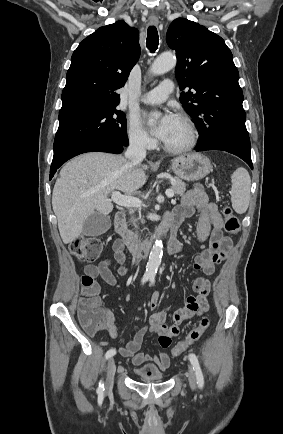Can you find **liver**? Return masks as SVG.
I'll list each match as a JSON object with an SVG mask.
<instances>
[{
    "mask_svg": "<svg viewBox=\"0 0 283 434\" xmlns=\"http://www.w3.org/2000/svg\"><path fill=\"white\" fill-rule=\"evenodd\" d=\"M145 164H132L122 155L91 152L67 162L52 193V207L64 244L72 243L83 231L85 220L95 210L108 215L113 210L109 194L119 190L130 195L142 188Z\"/></svg>",
    "mask_w": 283,
    "mask_h": 434,
    "instance_id": "6515ba94",
    "label": "liver"
}]
</instances>
